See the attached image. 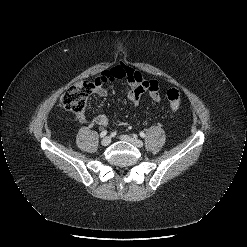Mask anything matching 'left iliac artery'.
<instances>
[{"label": "left iliac artery", "mask_w": 247, "mask_h": 247, "mask_svg": "<svg viewBox=\"0 0 247 247\" xmlns=\"http://www.w3.org/2000/svg\"><path fill=\"white\" fill-rule=\"evenodd\" d=\"M140 136H141L142 138H144V137H145V134H144L143 132H140Z\"/></svg>", "instance_id": "obj_1"}]
</instances>
